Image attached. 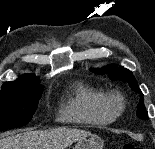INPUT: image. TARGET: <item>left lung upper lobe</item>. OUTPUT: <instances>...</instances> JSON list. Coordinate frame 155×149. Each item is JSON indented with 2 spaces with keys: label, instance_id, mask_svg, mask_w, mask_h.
Masks as SVG:
<instances>
[{
  "label": "left lung upper lobe",
  "instance_id": "left-lung-upper-lobe-1",
  "mask_svg": "<svg viewBox=\"0 0 155 149\" xmlns=\"http://www.w3.org/2000/svg\"><path fill=\"white\" fill-rule=\"evenodd\" d=\"M90 71L96 73V74H109V78L111 80H118V81H123L127 82L131 89L138 93L140 95V100L139 104L137 106V116L138 118L142 120H147L148 119V114L146 112L145 106H144V98H143V93L141 92L138 83L133 76L132 72L129 71L128 69L124 67H118L117 65H108L103 67L102 69H90Z\"/></svg>",
  "mask_w": 155,
  "mask_h": 149
}]
</instances>
